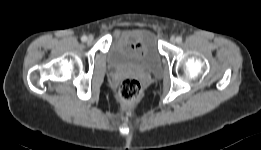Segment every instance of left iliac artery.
Here are the masks:
<instances>
[{
    "instance_id": "1",
    "label": "left iliac artery",
    "mask_w": 261,
    "mask_h": 150,
    "mask_svg": "<svg viewBox=\"0 0 261 150\" xmlns=\"http://www.w3.org/2000/svg\"><path fill=\"white\" fill-rule=\"evenodd\" d=\"M176 41H177V43H181V42H182V37L178 36V37L176 38Z\"/></svg>"
}]
</instances>
